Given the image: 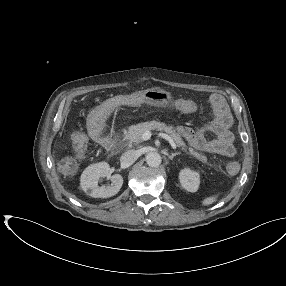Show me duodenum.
<instances>
[{
    "label": "duodenum",
    "instance_id": "obj_1",
    "mask_svg": "<svg viewBox=\"0 0 286 286\" xmlns=\"http://www.w3.org/2000/svg\"><path fill=\"white\" fill-rule=\"evenodd\" d=\"M97 123H98V125H97V132H98L101 136H103V135L106 133V130H105V129H106L105 121H104V119H99ZM113 145H114V142L111 141V142H110V148H112Z\"/></svg>",
    "mask_w": 286,
    "mask_h": 286
}]
</instances>
